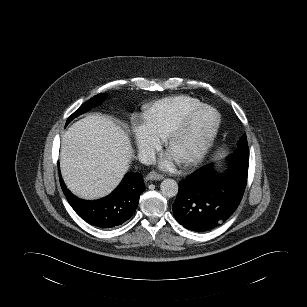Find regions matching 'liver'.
Instances as JSON below:
<instances>
[{
	"instance_id": "6515ba94",
	"label": "liver",
	"mask_w": 307,
	"mask_h": 307,
	"mask_svg": "<svg viewBox=\"0 0 307 307\" xmlns=\"http://www.w3.org/2000/svg\"><path fill=\"white\" fill-rule=\"evenodd\" d=\"M131 143L108 117L89 115L62 135L60 167L68 189L83 199L106 196L129 168Z\"/></svg>"
}]
</instances>
